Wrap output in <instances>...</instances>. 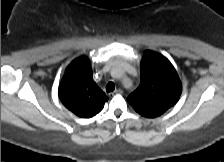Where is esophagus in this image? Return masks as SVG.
Here are the masks:
<instances>
[{
	"label": "esophagus",
	"mask_w": 224,
	"mask_h": 162,
	"mask_svg": "<svg viewBox=\"0 0 224 162\" xmlns=\"http://www.w3.org/2000/svg\"><path fill=\"white\" fill-rule=\"evenodd\" d=\"M122 93H123V91L121 89H116L114 92L110 93L109 95L114 96L116 94H122Z\"/></svg>",
	"instance_id": "obj_1"
}]
</instances>
